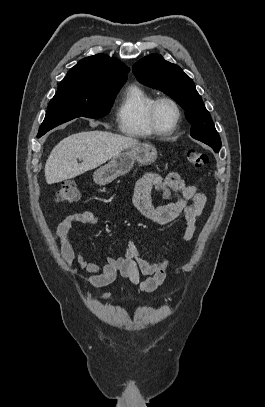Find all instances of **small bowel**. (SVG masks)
Wrapping results in <instances>:
<instances>
[{
  "label": "small bowel",
  "mask_w": 265,
  "mask_h": 407,
  "mask_svg": "<svg viewBox=\"0 0 265 407\" xmlns=\"http://www.w3.org/2000/svg\"><path fill=\"white\" fill-rule=\"evenodd\" d=\"M153 189L168 199L172 198L173 192H179L181 196L167 204L154 206L151 197ZM206 201V196L199 192L196 186L187 185L182 176L176 172L169 173L166 177L152 172L144 174L137 181L133 194V202L138 211L154 223L167 224L183 215L185 228L181 238L182 244L193 238ZM77 223L97 227L100 218L88 210L68 214L60 221L54 240L60 246L63 261L73 273H77L78 268L87 272L85 281L91 287L102 288L110 285L118 273L146 293L155 291L165 281L171 258L163 257L157 262H150L133 240H128L123 256L107 258L105 264L87 261L75 250L68 237L72 226ZM141 275L145 276V279H141ZM111 296V292H104L100 299L107 300Z\"/></svg>",
  "instance_id": "1"
}]
</instances>
